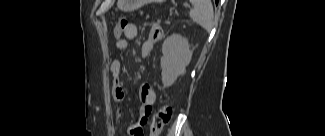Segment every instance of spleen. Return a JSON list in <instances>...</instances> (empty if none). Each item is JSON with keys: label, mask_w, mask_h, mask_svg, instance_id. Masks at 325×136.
Masks as SVG:
<instances>
[{"label": "spleen", "mask_w": 325, "mask_h": 136, "mask_svg": "<svg viewBox=\"0 0 325 136\" xmlns=\"http://www.w3.org/2000/svg\"><path fill=\"white\" fill-rule=\"evenodd\" d=\"M194 8L190 11L191 19L210 32L214 26V12L210 0H194Z\"/></svg>", "instance_id": "1"}]
</instances>
